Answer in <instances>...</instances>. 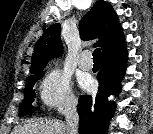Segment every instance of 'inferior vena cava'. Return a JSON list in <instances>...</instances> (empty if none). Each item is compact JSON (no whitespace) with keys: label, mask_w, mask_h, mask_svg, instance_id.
<instances>
[{"label":"inferior vena cava","mask_w":153,"mask_h":134,"mask_svg":"<svg viewBox=\"0 0 153 134\" xmlns=\"http://www.w3.org/2000/svg\"><path fill=\"white\" fill-rule=\"evenodd\" d=\"M65 118H66V134H77L79 115L77 112V102L76 101L69 103L65 111Z\"/></svg>","instance_id":"602c4592"}]
</instances>
